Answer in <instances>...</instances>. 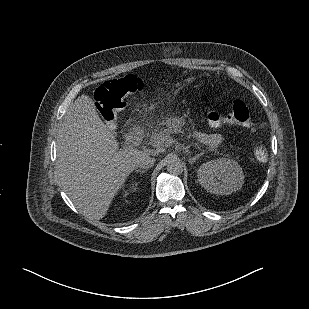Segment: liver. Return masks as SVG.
Here are the masks:
<instances>
[{
  "label": "liver",
  "instance_id": "obj_1",
  "mask_svg": "<svg viewBox=\"0 0 309 309\" xmlns=\"http://www.w3.org/2000/svg\"><path fill=\"white\" fill-rule=\"evenodd\" d=\"M148 156L135 148L119 149L115 135L100 119L94 101L79 96L70 106L57 138L61 184L78 210L102 219L126 178Z\"/></svg>",
  "mask_w": 309,
  "mask_h": 309
}]
</instances>
